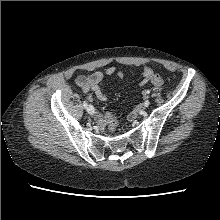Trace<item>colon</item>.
Returning <instances> with one entry per match:
<instances>
[{"mask_svg": "<svg viewBox=\"0 0 220 220\" xmlns=\"http://www.w3.org/2000/svg\"><path fill=\"white\" fill-rule=\"evenodd\" d=\"M163 80L158 81V85L161 86ZM105 122L107 124V129L110 133H115L118 128V120L114 113L108 112L105 114Z\"/></svg>", "mask_w": 220, "mask_h": 220, "instance_id": "colon-1", "label": "colon"}]
</instances>
